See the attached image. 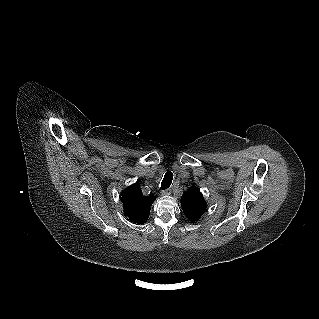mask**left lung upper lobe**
<instances>
[{"label":"left lung upper lobe","instance_id":"obj_1","mask_svg":"<svg viewBox=\"0 0 319 319\" xmlns=\"http://www.w3.org/2000/svg\"><path fill=\"white\" fill-rule=\"evenodd\" d=\"M181 206L184 214L190 221L198 220L206 211L207 204L200 189L192 187L188 189L181 198Z\"/></svg>","mask_w":319,"mask_h":319}]
</instances>
